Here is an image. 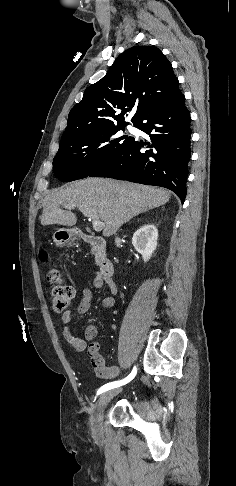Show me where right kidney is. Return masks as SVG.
Listing matches in <instances>:
<instances>
[{
    "instance_id": "1",
    "label": "right kidney",
    "mask_w": 236,
    "mask_h": 486,
    "mask_svg": "<svg viewBox=\"0 0 236 486\" xmlns=\"http://www.w3.org/2000/svg\"><path fill=\"white\" fill-rule=\"evenodd\" d=\"M158 230L154 225L147 224L138 229L132 238V244L136 251L147 262L157 247Z\"/></svg>"
}]
</instances>
